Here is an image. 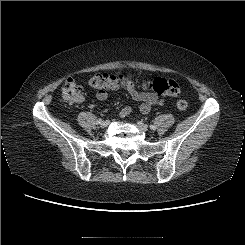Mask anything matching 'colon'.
Instances as JSON below:
<instances>
[{
  "label": "colon",
  "mask_w": 245,
  "mask_h": 245,
  "mask_svg": "<svg viewBox=\"0 0 245 245\" xmlns=\"http://www.w3.org/2000/svg\"><path fill=\"white\" fill-rule=\"evenodd\" d=\"M135 85L134 81L124 74L98 73L89 79V85L97 91H109ZM146 89H151L157 94L165 96H176L180 92L179 84L173 79L156 77L141 83ZM81 97V86L75 79H67L62 87V98L66 103H75ZM179 110H186L188 103L185 100L177 102Z\"/></svg>",
  "instance_id": "5ec220e1"
}]
</instances>
